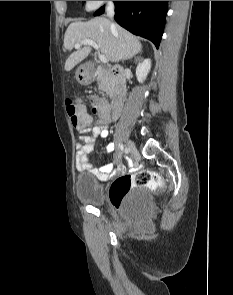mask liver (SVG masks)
I'll use <instances>...</instances> for the list:
<instances>
[{
	"instance_id": "obj_1",
	"label": "liver",
	"mask_w": 233,
	"mask_h": 295,
	"mask_svg": "<svg viewBox=\"0 0 233 295\" xmlns=\"http://www.w3.org/2000/svg\"><path fill=\"white\" fill-rule=\"evenodd\" d=\"M85 39L95 41L103 55L111 62L132 58L142 49L136 36L119 25L112 29L111 22L104 17H96L88 22L71 23L64 35V47L70 51L76 43ZM90 51V46H84L70 54L65 62V70H72L89 55Z\"/></svg>"
}]
</instances>
